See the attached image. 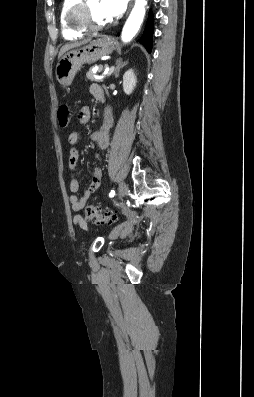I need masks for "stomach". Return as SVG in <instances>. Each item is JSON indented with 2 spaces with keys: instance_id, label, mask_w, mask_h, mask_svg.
I'll return each mask as SVG.
<instances>
[{
  "instance_id": "1",
  "label": "stomach",
  "mask_w": 254,
  "mask_h": 397,
  "mask_svg": "<svg viewBox=\"0 0 254 397\" xmlns=\"http://www.w3.org/2000/svg\"><path fill=\"white\" fill-rule=\"evenodd\" d=\"M115 47V41L103 35L88 45L68 51L57 63L56 79L63 86L70 85L84 64L94 63L101 57L111 54Z\"/></svg>"
}]
</instances>
